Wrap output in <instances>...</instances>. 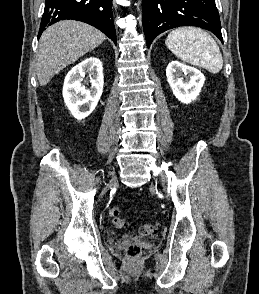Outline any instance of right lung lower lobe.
<instances>
[{
  "mask_svg": "<svg viewBox=\"0 0 259 294\" xmlns=\"http://www.w3.org/2000/svg\"><path fill=\"white\" fill-rule=\"evenodd\" d=\"M64 19L88 23L101 30L116 45L112 0H46L38 38L47 26Z\"/></svg>",
  "mask_w": 259,
  "mask_h": 294,
  "instance_id": "1",
  "label": "right lung lower lobe"
}]
</instances>
